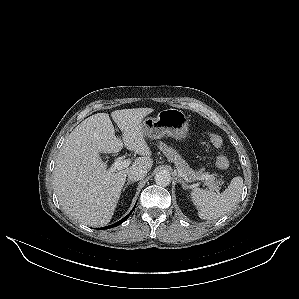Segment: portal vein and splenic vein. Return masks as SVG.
I'll list each match as a JSON object with an SVG mask.
<instances>
[{
    "label": "portal vein and splenic vein",
    "mask_w": 299,
    "mask_h": 299,
    "mask_svg": "<svg viewBox=\"0 0 299 299\" xmlns=\"http://www.w3.org/2000/svg\"><path fill=\"white\" fill-rule=\"evenodd\" d=\"M131 161L129 159H125V158H118L114 163L113 166L110 168V171H116V170H122L127 168L130 165ZM178 175L180 177H183L186 181L191 182L194 180H202V179H208L211 178V175H206L203 178H195V179H188L185 174L181 171L178 170Z\"/></svg>",
    "instance_id": "obj_1"
}]
</instances>
